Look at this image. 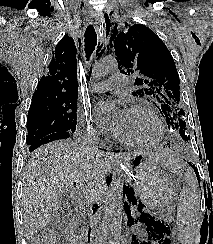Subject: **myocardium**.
<instances>
[{
  "label": "myocardium",
  "instance_id": "f54148a6",
  "mask_svg": "<svg viewBox=\"0 0 213 244\" xmlns=\"http://www.w3.org/2000/svg\"><path fill=\"white\" fill-rule=\"evenodd\" d=\"M130 110L131 111L142 110V111L148 112L153 117V119L155 120V122L158 126V136L155 139H153L151 141H147V142L129 141V140H126L123 137H121L118 134V132L115 131L114 136H115L116 140L125 146L137 147V148H150V147H153V146H156L157 144H159L164 137V126H163L162 120H161L160 116L158 115L157 111L148 104H136V105H133L130 108Z\"/></svg>",
  "mask_w": 213,
  "mask_h": 244
}]
</instances>
